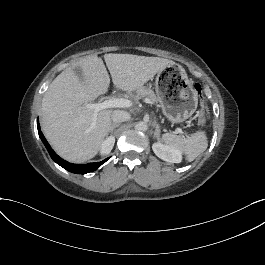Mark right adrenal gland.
Listing matches in <instances>:
<instances>
[{"label": "right adrenal gland", "instance_id": "1", "mask_svg": "<svg viewBox=\"0 0 265 265\" xmlns=\"http://www.w3.org/2000/svg\"><path fill=\"white\" fill-rule=\"evenodd\" d=\"M119 127V124H112L110 132L112 133L115 128Z\"/></svg>", "mask_w": 265, "mask_h": 265}]
</instances>
